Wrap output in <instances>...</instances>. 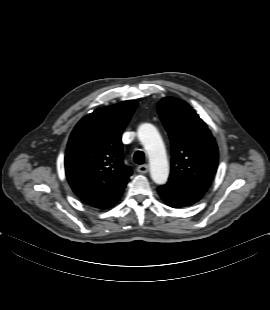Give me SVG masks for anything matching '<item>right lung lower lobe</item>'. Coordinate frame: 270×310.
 Returning <instances> with one entry per match:
<instances>
[{
    "label": "right lung lower lobe",
    "mask_w": 270,
    "mask_h": 310,
    "mask_svg": "<svg viewBox=\"0 0 270 310\" xmlns=\"http://www.w3.org/2000/svg\"><path fill=\"white\" fill-rule=\"evenodd\" d=\"M125 186L121 187L116 192H114L112 195L105 198L104 200H102L96 204H93L91 206L96 207V208H101V209H107L109 207H112L121 197Z\"/></svg>",
    "instance_id": "obj_1"
}]
</instances>
